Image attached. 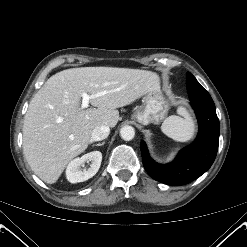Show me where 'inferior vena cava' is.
Segmentation results:
<instances>
[{"mask_svg":"<svg viewBox=\"0 0 247 247\" xmlns=\"http://www.w3.org/2000/svg\"><path fill=\"white\" fill-rule=\"evenodd\" d=\"M110 133V128L106 125H100L93 129L91 140L92 141H101L108 137Z\"/></svg>","mask_w":247,"mask_h":247,"instance_id":"obj_1","label":"inferior vena cava"}]
</instances>
